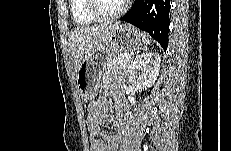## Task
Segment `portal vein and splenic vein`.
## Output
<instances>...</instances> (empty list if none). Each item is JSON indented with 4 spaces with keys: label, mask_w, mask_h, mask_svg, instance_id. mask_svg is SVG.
I'll use <instances>...</instances> for the list:
<instances>
[{
    "label": "portal vein and splenic vein",
    "mask_w": 231,
    "mask_h": 151,
    "mask_svg": "<svg viewBox=\"0 0 231 151\" xmlns=\"http://www.w3.org/2000/svg\"><path fill=\"white\" fill-rule=\"evenodd\" d=\"M125 58H126V59H130V58H131V56H130V55H128V54H126V55H125Z\"/></svg>",
    "instance_id": "18ae733b"
}]
</instances>
